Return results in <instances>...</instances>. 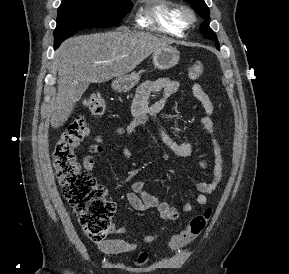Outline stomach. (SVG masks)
<instances>
[{
	"label": "stomach",
	"instance_id": "stomach-1",
	"mask_svg": "<svg viewBox=\"0 0 289 274\" xmlns=\"http://www.w3.org/2000/svg\"><path fill=\"white\" fill-rule=\"evenodd\" d=\"M180 53L177 49L167 46L153 54V64L155 68L166 70L177 65ZM139 81V73L132 72L127 75L119 76L112 82V88L117 92L130 91Z\"/></svg>",
	"mask_w": 289,
	"mask_h": 274
}]
</instances>
